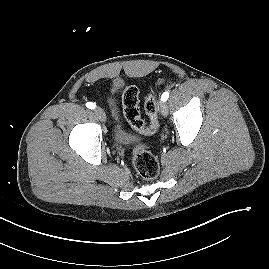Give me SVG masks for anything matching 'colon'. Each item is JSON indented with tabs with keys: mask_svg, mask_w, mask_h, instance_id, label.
<instances>
[{
	"mask_svg": "<svg viewBox=\"0 0 269 269\" xmlns=\"http://www.w3.org/2000/svg\"><path fill=\"white\" fill-rule=\"evenodd\" d=\"M122 107L127 121L135 130L147 136L157 132L159 127L158 106L152 95H148L144 102V110L149 118L148 123H145L141 118L139 92L135 86H129L125 89L122 96ZM132 164L144 180H153L159 174L160 167L157 158L144 147L133 152Z\"/></svg>",
	"mask_w": 269,
	"mask_h": 269,
	"instance_id": "colon-1",
	"label": "colon"
}]
</instances>
